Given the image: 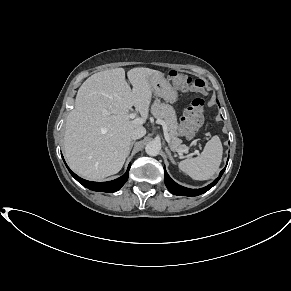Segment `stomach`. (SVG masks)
Listing matches in <instances>:
<instances>
[{
  "mask_svg": "<svg viewBox=\"0 0 291 291\" xmlns=\"http://www.w3.org/2000/svg\"><path fill=\"white\" fill-rule=\"evenodd\" d=\"M149 83L156 96L171 103L178 100L176 88L172 87L169 80L166 79L162 73L150 76Z\"/></svg>",
  "mask_w": 291,
  "mask_h": 291,
  "instance_id": "obj_1",
  "label": "stomach"
}]
</instances>
